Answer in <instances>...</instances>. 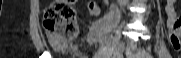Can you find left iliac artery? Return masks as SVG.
<instances>
[{
  "instance_id": "44dca946",
  "label": "left iliac artery",
  "mask_w": 181,
  "mask_h": 58,
  "mask_svg": "<svg viewBox=\"0 0 181 58\" xmlns=\"http://www.w3.org/2000/svg\"><path fill=\"white\" fill-rule=\"evenodd\" d=\"M141 55L143 56V58H152V56L144 49H141Z\"/></svg>"
}]
</instances>
